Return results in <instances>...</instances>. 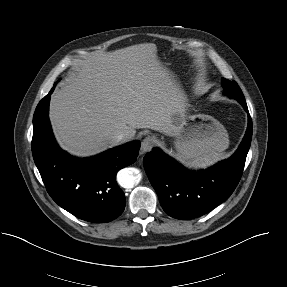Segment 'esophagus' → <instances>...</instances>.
Returning a JSON list of instances; mask_svg holds the SVG:
<instances>
[{"mask_svg": "<svg viewBox=\"0 0 287 287\" xmlns=\"http://www.w3.org/2000/svg\"><path fill=\"white\" fill-rule=\"evenodd\" d=\"M156 143V138L154 136H146L141 143V153H146L152 149Z\"/></svg>", "mask_w": 287, "mask_h": 287, "instance_id": "34e87169", "label": "esophagus"}]
</instances>
